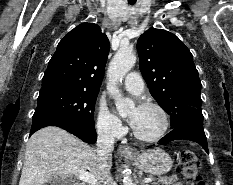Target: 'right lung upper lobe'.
<instances>
[{
	"label": "right lung upper lobe",
	"mask_w": 233,
	"mask_h": 185,
	"mask_svg": "<svg viewBox=\"0 0 233 185\" xmlns=\"http://www.w3.org/2000/svg\"><path fill=\"white\" fill-rule=\"evenodd\" d=\"M109 48V40L98 25H78L59 42L43 76L41 91L99 92Z\"/></svg>",
	"instance_id": "1"
}]
</instances>
